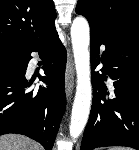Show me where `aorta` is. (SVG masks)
Masks as SVG:
<instances>
[{
  "label": "aorta",
  "instance_id": "aorta-1",
  "mask_svg": "<svg viewBox=\"0 0 139 150\" xmlns=\"http://www.w3.org/2000/svg\"><path fill=\"white\" fill-rule=\"evenodd\" d=\"M71 41L77 73V87L72 107L70 136L75 139L81 135L88 121L92 88L90 78V29L88 21L76 17L71 26Z\"/></svg>",
  "mask_w": 139,
  "mask_h": 150
}]
</instances>
